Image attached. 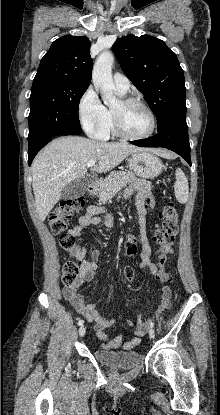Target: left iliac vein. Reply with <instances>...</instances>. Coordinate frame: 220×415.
Instances as JSON below:
<instances>
[{
    "instance_id": "4c4485c4",
    "label": "left iliac vein",
    "mask_w": 220,
    "mask_h": 415,
    "mask_svg": "<svg viewBox=\"0 0 220 415\" xmlns=\"http://www.w3.org/2000/svg\"><path fill=\"white\" fill-rule=\"evenodd\" d=\"M149 337H150L151 339H153V338L155 337V331H154V329H152V328H150V330H149Z\"/></svg>"
}]
</instances>
